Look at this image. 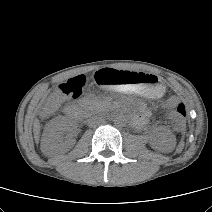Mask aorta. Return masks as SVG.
<instances>
[{"instance_id":"aorta-1","label":"aorta","mask_w":212,"mask_h":212,"mask_svg":"<svg viewBox=\"0 0 212 212\" xmlns=\"http://www.w3.org/2000/svg\"><path fill=\"white\" fill-rule=\"evenodd\" d=\"M125 122H126V120L123 116H117L114 119V124L117 126H123V125H125Z\"/></svg>"}]
</instances>
